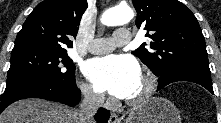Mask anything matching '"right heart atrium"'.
Masks as SVG:
<instances>
[{"label":"right heart atrium","instance_id":"d8ad5b80","mask_svg":"<svg viewBox=\"0 0 221 123\" xmlns=\"http://www.w3.org/2000/svg\"><path fill=\"white\" fill-rule=\"evenodd\" d=\"M79 89L87 102L92 104H102L104 102L103 94L91 85L85 82H79Z\"/></svg>","mask_w":221,"mask_h":123}]
</instances>
